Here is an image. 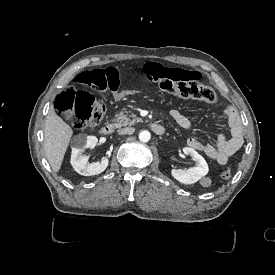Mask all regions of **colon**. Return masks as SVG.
<instances>
[{"mask_svg": "<svg viewBox=\"0 0 275 275\" xmlns=\"http://www.w3.org/2000/svg\"><path fill=\"white\" fill-rule=\"evenodd\" d=\"M106 84L104 72H93L92 68H77L76 77L72 79L73 88L65 89L56 98L54 107L59 114L67 116L75 128L95 127L102 121L106 105L89 92H107ZM157 91L163 97L192 98L212 105L219 102L216 92L203 84L192 85L189 82L162 79L157 84ZM221 176L230 178V169H223Z\"/></svg>", "mask_w": 275, "mask_h": 275, "instance_id": "obj_1", "label": "colon"}]
</instances>
